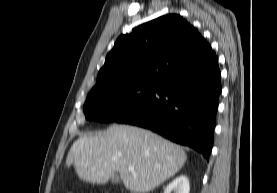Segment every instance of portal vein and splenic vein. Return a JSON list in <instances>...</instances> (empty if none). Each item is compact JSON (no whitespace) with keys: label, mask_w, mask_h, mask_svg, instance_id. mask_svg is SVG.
Returning <instances> with one entry per match:
<instances>
[{"label":"portal vein and splenic vein","mask_w":277,"mask_h":193,"mask_svg":"<svg viewBox=\"0 0 277 193\" xmlns=\"http://www.w3.org/2000/svg\"><path fill=\"white\" fill-rule=\"evenodd\" d=\"M128 170H129V172H134V167L133 166H129Z\"/></svg>","instance_id":"1"}]
</instances>
